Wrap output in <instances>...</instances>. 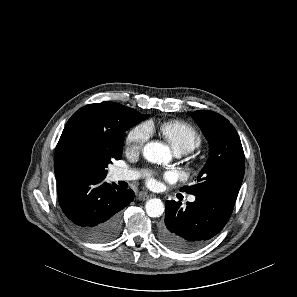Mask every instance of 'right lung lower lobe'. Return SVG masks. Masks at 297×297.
I'll list each match as a JSON object with an SVG mask.
<instances>
[{"instance_id":"98d812e1","label":"right lung lower lobe","mask_w":297,"mask_h":297,"mask_svg":"<svg viewBox=\"0 0 297 297\" xmlns=\"http://www.w3.org/2000/svg\"><path fill=\"white\" fill-rule=\"evenodd\" d=\"M59 203L74 229L86 240L105 243L115 239L122 212L134 199L131 189L110 185L86 173L57 182Z\"/></svg>"}]
</instances>
